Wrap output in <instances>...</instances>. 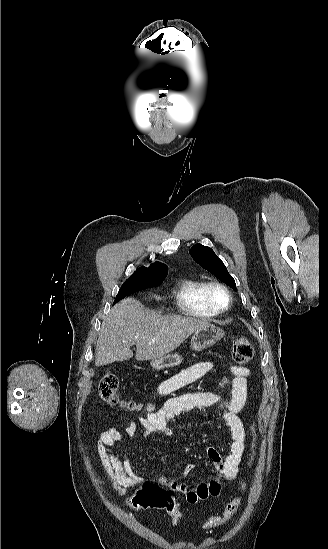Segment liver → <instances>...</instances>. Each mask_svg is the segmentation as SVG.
<instances>
[{
    "instance_id": "6515ba94",
    "label": "liver",
    "mask_w": 328,
    "mask_h": 549,
    "mask_svg": "<svg viewBox=\"0 0 328 549\" xmlns=\"http://www.w3.org/2000/svg\"><path fill=\"white\" fill-rule=\"evenodd\" d=\"M206 325L208 321L197 317L161 315L128 297L112 307L101 325L95 365L101 367L132 359V345L137 347V361L158 359L175 351L192 333Z\"/></svg>"
}]
</instances>
